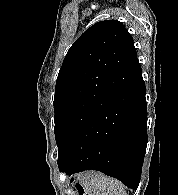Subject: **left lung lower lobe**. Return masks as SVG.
Here are the masks:
<instances>
[{
	"instance_id": "left-lung-lower-lobe-1",
	"label": "left lung lower lobe",
	"mask_w": 178,
	"mask_h": 195,
	"mask_svg": "<svg viewBox=\"0 0 178 195\" xmlns=\"http://www.w3.org/2000/svg\"><path fill=\"white\" fill-rule=\"evenodd\" d=\"M147 144L145 83L140 70L83 126L58 157L61 172L98 170L136 189Z\"/></svg>"
}]
</instances>
